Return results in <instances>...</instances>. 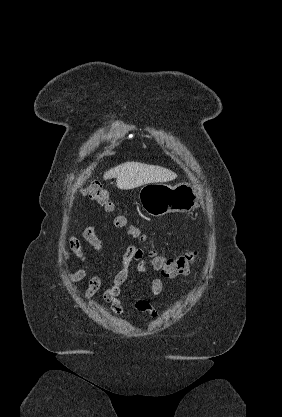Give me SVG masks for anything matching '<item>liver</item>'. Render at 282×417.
Wrapping results in <instances>:
<instances>
[{"instance_id": "1", "label": "liver", "mask_w": 282, "mask_h": 417, "mask_svg": "<svg viewBox=\"0 0 282 417\" xmlns=\"http://www.w3.org/2000/svg\"><path fill=\"white\" fill-rule=\"evenodd\" d=\"M176 172H172L164 166L155 164H143V162H123L103 174L104 180L116 178L118 188H136L149 182H167L176 178Z\"/></svg>"}]
</instances>
